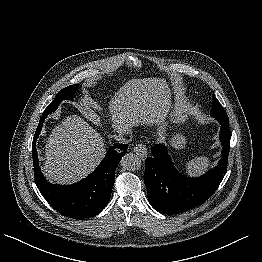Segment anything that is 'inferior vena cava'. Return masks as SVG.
<instances>
[{
  "instance_id": "inferior-vena-cava-1",
  "label": "inferior vena cava",
  "mask_w": 262,
  "mask_h": 262,
  "mask_svg": "<svg viewBox=\"0 0 262 262\" xmlns=\"http://www.w3.org/2000/svg\"><path fill=\"white\" fill-rule=\"evenodd\" d=\"M124 134H131V131H125V132H123V133H120L119 135H114V139L117 141V142H119V143H128L129 142V140L127 139H125V138H123V135Z\"/></svg>"
}]
</instances>
